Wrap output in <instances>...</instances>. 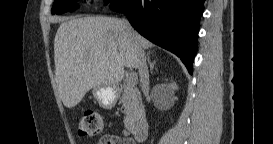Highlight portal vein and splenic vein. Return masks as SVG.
<instances>
[{
    "mask_svg": "<svg viewBox=\"0 0 273 144\" xmlns=\"http://www.w3.org/2000/svg\"><path fill=\"white\" fill-rule=\"evenodd\" d=\"M137 83V76L134 73H130L127 77V86L133 87Z\"/></svg>",
    "mask_w": 273,
    "mask_h": 144,
    "instance_id": "1",
    "label": "portal vein and splenic vein"
}]
</instances>
